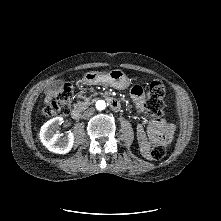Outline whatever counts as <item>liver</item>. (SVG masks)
<instances>
[{
    "instance_id": "1",
    "label": "liver",
    "mask_w": 221,
    "mask_h": 221,
    "mask_svg": "<svg viewBox=\"0 0 221 221\" xmlns=\"http://www.w3.org/2000/svg\"><path fill=\"white\" fill-rule=\"evenodd\" d=\"M56 95H57V91L56 90H54V89L48 90L47 95H46V97L44 99V102L45 103H49L52 100V98L55 97Z\"/></svg>"
}]
</instances>
